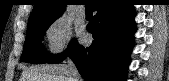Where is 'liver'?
Instances as JSON below:
<instances>
[{
	"label": "liver",
	"mask_w": 169,
	"mask_h": 81,
	"mask_svg": "<svg viewBox=\"0 0 169 81\" xmlns=\"http://www.w3.org/2000/svg\"><path fill=\"white\" fill-rule=\"evenodd\" d=\"M21 81H70L67 65L33 66L22 73Z\"/></svg>",
	"instance_id": "liver-1"
}]
</instances>
